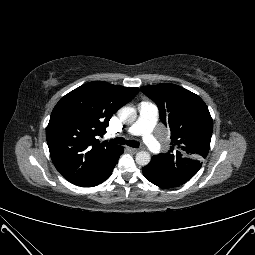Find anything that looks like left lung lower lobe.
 I'll list each match as a JSON object with an SVG mask.
<instances>
[{
    "label": "left lung lower lobe",
    "instance_id": "left-lung-lower-lobe-1",
    "mask_svg": "<svg viewBox=\"0 0 255 255\" xmlns=\"http://www.w3.org/2000/svg\"><path fill=\"white\" fill-rule=\"evenodd\" d=\"M142 172L148 181L161 188H173L180 186L186 182L180 179L170 177L149 164L143 167Z\"/></svg>",
    "mask_w": 255,
    "mask_h": 255
}]
</instances>
